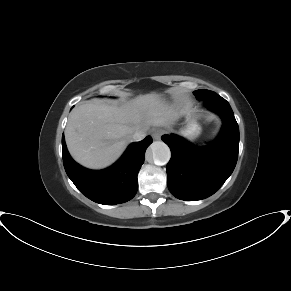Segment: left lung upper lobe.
<instances>
[{
	"label": "left lung upper lobe",
	"mask_w": 291,
	"mask_h": 291,
	"mask_svg": "<svg viewBox=\"0 0 291 291\" xmlns=\"http://www.w3.org/2000/svg\"><path fill=\"white\" fill-rule=\"evenodd\" d=\"M211 91L209 90H197L194 92V95L197 99L202 100L206 94H209Z\"/></svg>",
	"instance_id": "left-lung-upper-lobe-1"
}]
</instances>
